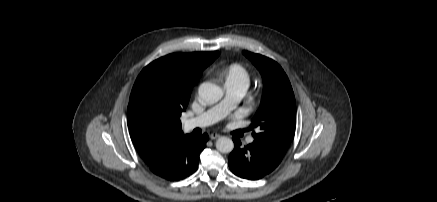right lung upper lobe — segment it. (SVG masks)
Wrapping results in <instances>:
<instances>
[{"label":"right lung upper lobe","mask_w":437,"mask_h":202,"mask_svg":"<svg viewBox=\"0 0 437 202\" xmlns=\"http://www.w3.org/2000/svg\"><path fill=\"white\" fill-rule=\"evenodd\" d=\"M218 56V51L173 53L152 62L168 66L170 70L168 99L182 112L186 110L193 86L203 70ZM127 122L131 139L148 165L184 136L181 122L177 120L150 123L127 115Z\"/></svg>","instance_id":"right-lung-upper-lobe-1"}]
</instances>
